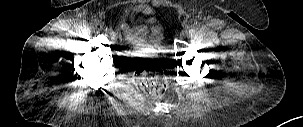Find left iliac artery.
<instances>
[{"label": "left iliac artery", "instance_id": "44dca946", "mask_svg": "<svg viewBox=\"0 0 303 127\" xmlns=\"http://www.w3.org/2000/svg\"><path fill=\"white\" fill-rule=\"evenodd\" d=\"M189 36H193L195 34V29L191 28L188 30Z\"/></svg>", "mask_w": 303, "mask_h": 127}]
</instances>
